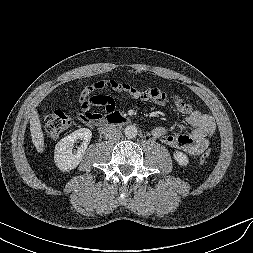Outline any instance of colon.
Listing matches in <instances>:
<instances>
[{
  "label": "colon",
  "instance_id": "5ec220e1",
  "mask_svg": "<svg viewBox=\"0 0 253 253\" xmlns=\"http://www.w3.org/2000/svg\"><path fill=\"white\" fill-rule=\"evenodd\" d=\"M110 115H108L109 117ZM72 125V119L71 117L62 112V111H56L51 114H49L46 117L45 120V132L48 136L51 137H58L62 133L66 132ZM212 155L211 150H207L201 157V162H206Z\"/></svg>",
  "mask_w": 253,
  "mask_h": 253
}]
</instances>
